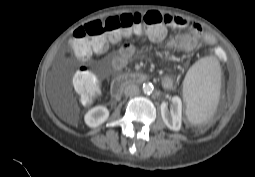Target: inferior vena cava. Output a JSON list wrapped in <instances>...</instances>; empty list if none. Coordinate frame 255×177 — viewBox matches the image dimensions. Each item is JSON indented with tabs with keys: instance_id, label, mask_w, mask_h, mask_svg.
<instances>
[{
	"instance_id": "obj_1",
	"label": "inferior vena cava",
	"mask_w": 255,
	"mask_h": 177,
	"mask_svg": "<svg viewBox=\"0 0 255 177\" xmlns=\"http://www.w3.org/2000/svg\"><path fill=\"white\" fill-rule=\"evenodd\" d=\"M124 93L127 96H133L139 93V87L134 84L127 85L124 89Z\"/></svg>"
}]
</instances>
